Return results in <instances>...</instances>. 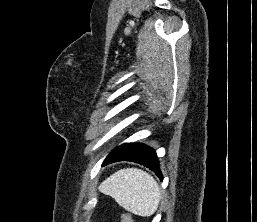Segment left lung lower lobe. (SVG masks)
<instances>
[{
	"label": "left lung lower lobe",
	"instance_id": "left-lung-lower-lobe-1",
	"mask_svg": "<svg viewBox=\"0 0 257 222\" xmlns=\"http://www.w3.org/2000/svg\"><path fill=\"white\" fill-rule=\"evenodd\" d=\"M118 161H132L139 163L154 171L160 180H163V175L159 168L158 157L155 150L151 147L142 144L124 143L110 152L104 160L103 165Z\"/></svg>",
	"mask_w": 257,
	"mask_h": 222
}]
</instances>
